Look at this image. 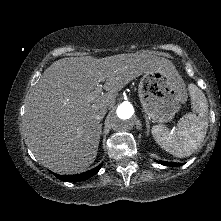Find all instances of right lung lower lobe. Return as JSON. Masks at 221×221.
I'll return each instance as SVG.
<instances>
[{
    "label": "right lung lower lobe",
    "instance_id": "right-lung-lower-lobe-1",
    "mask_svg": "<svg viewBox=\"0 0 221 221\" xmlns=\"http://www.w3.org/2000/svg\"><path fill=\"white\" fill-rule=\"evenodd\" d=\"M102 163L97 166L96 168L84 172L82 174H76V175H58V174H54L55 177H57L59 180L61 181H66V182H78V181H82L85 179H88L90 177H92L93 175H95L101 168Z\"/></svg>",
    "mask_w": 221,
    "mask_h": 221
}]
</instances>
